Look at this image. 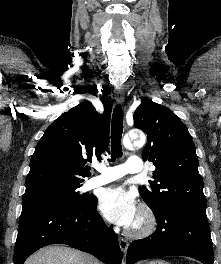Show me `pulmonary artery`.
I'll return each mask as SVG.
<instances>
[{
  "instance_id": "1",
  "label": "pulmonary artery",
  "mask_w": 221,
  "mask_h": 264,
  "mask_svg": "<svg viewBox=\"0 0 221 264\" xmlns=\"http://www.w3.org/2000/svg\"><path fill=\"white\" fill-rule=\"evenodd\" d=\"M97 170L99 174L86 181V189L105 185L122 178L128 173H140L142 171V161L140 158L132 156L124 164L98 167Z\"/></svg>"
}]
</instances>
